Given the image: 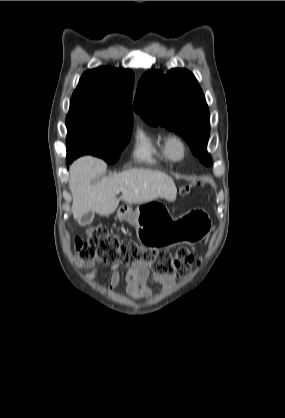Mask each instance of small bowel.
Listing matches in <instances>:
<instances>
[{
  "label": "small bowel",
  "mask_w": 285,
  "mask_h": 418,
  "mask_svg": "<svg viewBox=\"0 0 285 418\" xmlns=\"http://www.w3.org/2000/svg\"><path fill=\"white\" fill-rule=\"evenodd\" d=\"M99 261L87 264L84 266L88 270V280H93L99 273L97 266ZM112 273L109 279L108 288L110 290L115 289L121 282V273L119 271L120 264L114 263L111 267ZM150 277V271L146 264L138 263L127 267L126 271V292L131 297H143L148 291V281ZM156 282L172 283V280L161 279L154 277Z\"/></svg>",
  "instance_id": "obj_1"
}]
</instances>
